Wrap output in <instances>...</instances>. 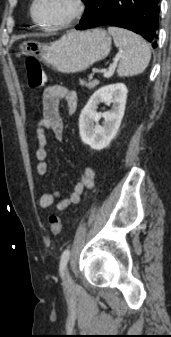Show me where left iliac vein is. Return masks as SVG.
I'll list each match as a JSON object with an SVG mask.
<instances>
[{
    "label": "left iliac vein",
    "mask_w": 171,
    "mask_h": 337,
    "mask_svg": "<svg viewBox=\"0 0 171 337\" xmlns=\"http://www.w3.org/2000/svg\"><path fill=\"white\" fill-rule=\"evenodd\" d=\"M64 283L67 285V286H70L72 285L73 281H72V278L68 272V269L65 270V275H64Z\"/></svg>",
    "instance_id": "1"
}]
</instances>
